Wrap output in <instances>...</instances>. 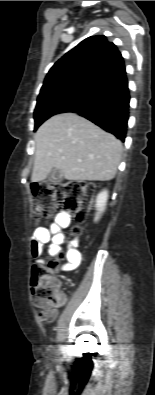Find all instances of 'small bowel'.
Returning a JSON list of instances; mask_svg holds the SVG:
<instances>
[{
    "label": "small bowel",
    "mask_w": 155,
    "mask_h": 395,
    "mask_svg": "<svg viewBox=\"0 0 155 395\" xmlns=\"http://www.w3.org/2000/svg\"><path fill=\"white\" fill-rule=\"evenodd\" d=\"M70 217L68 213L59 212L49 227H39L34 231L30 240L31 259L35 260L36 266H43L44 260L38 259L39 254H43L45 244L50 242L49 253L56 255L59 253L61 245L64 243V235L62 231L68 226ZM67 251V262L62 266L63 271H70L77 268L81 262V253L77 250V240H73L69 244ZM57 316L56 309H44L40 311L39 317L42 321L52 322Z\"/></svg>",
    "instance_id": "1"
}]
</instances>
